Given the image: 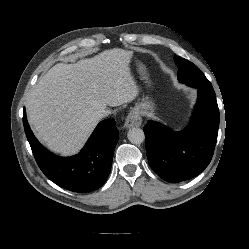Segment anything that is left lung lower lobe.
<instances>
[{
    "label": "left lung lower lobe",
    "instance_id": "0a47b994",
    "mask_svg": "<svg viewBox=\"0 0 249 249\" xmlns=\"http://www.w3.org/2000/svg\"><path fill=\"white\" fill-rule=\"evenodd\" d=\"M214 90L198 88L190 124L180 132L148 121L144 127L149 165L164 180L177 183L200 174L210 163L218 134Z\"/></svg>",
    "mask_w": 249,
    "mask_h": 249
}]
</instances>
